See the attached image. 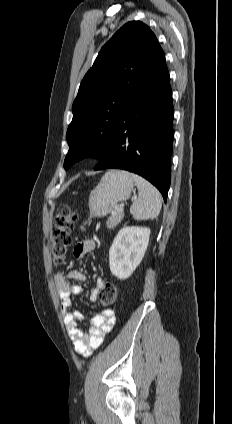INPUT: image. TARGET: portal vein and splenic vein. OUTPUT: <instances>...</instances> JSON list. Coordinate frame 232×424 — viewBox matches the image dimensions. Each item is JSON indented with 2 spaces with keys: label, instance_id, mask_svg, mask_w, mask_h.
I'll list each match as a JSON object with an SVG mask.
<instances>
[{
  "label": "portal vein and splenic vein",
  "instance_id": "portal-vein-and-splenic-vein-1",
  "mask_svg": "<svg viewBox=\"0 0 232 424\" xmlns=\"http://www.w3.org/2000/svg\"><path fill=\"white\" fill-rule=\"evenodd\" d=\"M118 211L123 212V205H120V207L118 208ZM114 214H115V212H112V215H114Z\"/></svg>",
  "mask_w": 232,
  "mask_h": 424
}]
</instances>
